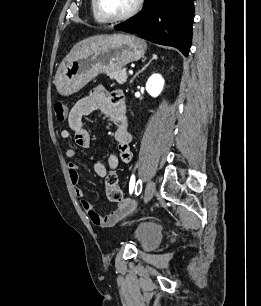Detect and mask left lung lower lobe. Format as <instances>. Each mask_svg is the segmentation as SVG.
<instances>
[{"instance_id":"1","label":"left lung lower lobe","mask_w":261,"mask_h":306,"mask_svg":"<svg viewBox=\"0 0 261 306\" xmlns=\"http://www.w3.org/2000/svg\"><path fill=\"white\" fill-rule=\"evenodd\" d=\"M193 0H145L143 10L116 25L151 42L173 46L187 56L192 39Z\"/></svg>"}]
</instances>
